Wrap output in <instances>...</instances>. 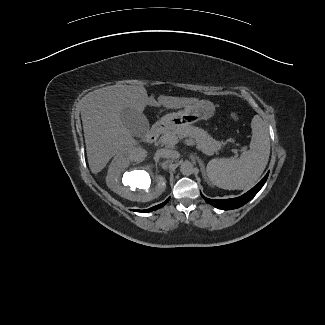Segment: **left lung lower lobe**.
<instances>
[{
  "label": "left lung lower lobe",
  "mask_w": 325,
  "mask_h": 325,
  "mask_svg": "<svg viewBox=\"0 0 325 325\" xmlns=\"http://www.w3.org/2000/svg\"><path fill=\"white\" fill-rule=\"evenodd\" d=\"M269 172L264 176V178L256 185L254 186L251 190H249L247 193L243 194L240 197L237 198H232V199H209L204 197L202 194L201 196L210 203L211 205L222 209V210H231V209H236L244 204H246L248 201H250L258 192L259 190L263 187L265 184L267 177H268Z\"/></svg>",
  "instance_id": "obj_1"
}]
</instances>
